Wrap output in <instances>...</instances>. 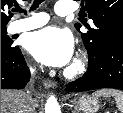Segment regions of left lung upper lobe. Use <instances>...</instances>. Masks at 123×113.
I'll return each instance as SVG.
<instances>
[{"instance_id": "5c2ea615", "label": "left lung upper lobe", "mask_w": 123, "mask_h": 113, "mask_svg": "<svg viewBox=\"0 0 123 113\" xmlns=\"http://www.w3.org/2000/svg\"><path fill=\"white\" fill-rule=\"evenodd\" d=\"M84 11L94 21L89 31L82 33L83 43L89 52H94L123 39V0H81ZM79 30L80 23L75 24Z\"/></svg>"}]
</instances>
